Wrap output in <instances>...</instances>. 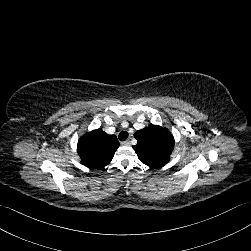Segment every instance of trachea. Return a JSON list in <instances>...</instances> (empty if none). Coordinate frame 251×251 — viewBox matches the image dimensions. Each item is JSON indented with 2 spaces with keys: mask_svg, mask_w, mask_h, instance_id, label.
I'll return each mask as SVG.
<instances>
[{
  "mask_svg": "<svg viewBox=\"0 0 251 251\" xmlns=\"http://www.w3.org/2000/svg\"><path fill=\"white\" fill-rule=\"evenodd\" d=\"M118 138L120 141H125L128 138V132L127 131H121L118 135Z\"/></svg>",
  "mask_w": 251,
  "mask_h": 251,
  "instance_id": "obj_1",
  "label": "trachea"
}]
</instances>
